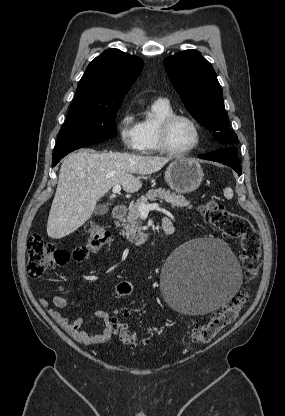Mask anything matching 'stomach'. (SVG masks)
<instances>
[{
    "instance_id": "obj_1",
    "label": "stomach",
    "mask_w": 285,
    "mask_h": 416,
    "mask_svg": "<svg viewBox=\"0 0 285 416\" xmlns=\"http://www.w3.org/2000/svg\"><path fill=\"white\" fill-rule=\"evenodd\" d=\"M203 170L193 158H177L169 164L165 172V180L177 194H190L199 188L203 180Z\"/></svg>"
}]
</instances>
